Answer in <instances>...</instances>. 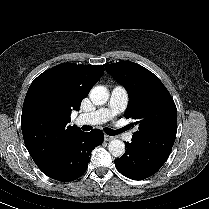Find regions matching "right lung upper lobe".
I'll return each instance as SVG.
<instances>
[{
    "label": "right lung upper lobe",
    "instance_id": "right-lung-upper-lobe-1",
    "mask_svg": "<svg viewBox=\"0 0 209 209\" xmlns=\"http://www.w3.org/2000/svg\"><path fill=\"white\" fill-rule=\"evenodd\" d=\"M103 73L102 65L62 63L31 83L23 104L21 129L25 146L39 168L81 132L68 125L71 111L79 109Z\"/></svg>",
    "mask_w": 209,
    "mask_h": 209
}]
</instances>
